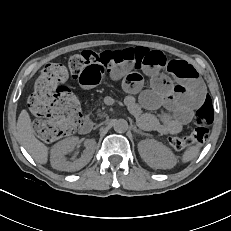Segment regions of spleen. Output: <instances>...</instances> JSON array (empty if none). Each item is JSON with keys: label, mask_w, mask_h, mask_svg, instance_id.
Segmentation results:
<instances>
[{"label": "spleen", "mask_w": 231, "mask_h": 231, "mask_svg": "<svg viewBox=\"0 0 231 231\" xmlns=\"http://www.w3.org/2000/svg\"><path fill=\"white\" fill-rule=\"evenodd\" d=\"M199 151H200L199 145L192 146V147L188 148L187 150L184 151L182 158H181V161L183 163L192 161L193 159H195L197 157Z\"/></svg>", "instance_id": "obj_1"}]
</instances>
